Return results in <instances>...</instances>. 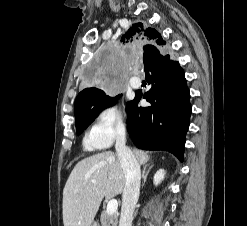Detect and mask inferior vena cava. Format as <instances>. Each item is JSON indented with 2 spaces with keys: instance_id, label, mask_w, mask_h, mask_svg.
<instances>
[{
  "instance_id": "inferior-vena-cava-1",
  "label": "inferior vena cava",
  "mask_w": 247,
  "mask_h": 226,
  "mask_svg": "<svg viewBox=\"0 0 247 226\" xmlns=\"http://www.w3.org/2000/svg\"><path fill=\"white\" fill-rule=\"evenodd\" d=\"M115 149L125 176L119 226H132L134 209L140 193L141 171L135 155L126 147L124 128L119 130Z\"/></svg>"
}]
</instances>
